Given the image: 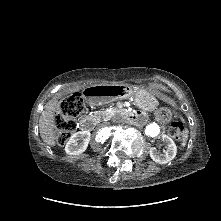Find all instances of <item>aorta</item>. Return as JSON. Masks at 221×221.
Segmentation results:
<instances>
[{"label":"aorta","mask_w":221,"mask_h":221,"mask_svg":"<svg viewBox=\"0 0 221 221\" xmlns=\"http://www.w3.org/2000/svg\"><path fill=\"white\" fill-rule=\"evenodd\" d=\"M159 132H160L159 126L155 123L150 124L146 127V134L151 137L157 136Z\"/></svg>","instance_id":"obj_1"}]
</instances>
